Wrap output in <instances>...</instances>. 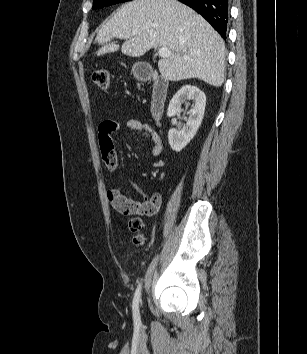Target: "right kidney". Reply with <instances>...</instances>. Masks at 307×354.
I'll use <instances>...</instances> for the list:
<instances>
[{
	"instance_id": "right-kidney-1",
	"label": "right kidney",
	"mask_w": 307,
	"mask_h": 354,
	"mask_svg": "<svg viewBox=\"0 0 307 354\" xmlns=\"http://www.w3.org/2000/svg\"><path fill=\"white\" fill-rule=\"evenodd\" d=\"M187 100L193 101V105L186 125L181 130L172 128L168 132L169 144L176 152H180L194 138L204 116L206 96L192 85H185L177 91L169 103L167 116H175L181 110V104Z\"/></svg>"
}]
</instances>
